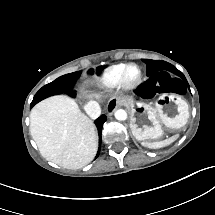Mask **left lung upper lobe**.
Returning a JSON list of instances; mask_svg holds the SVG:
<instances>
[{
    "label": "left lung upper lobe",
    "instance_id": "1",
    "mask_svg": "<svg viewBox=\"0 0 215 215\" xmlns=\"http://www.w3.org/2000/svg\"><path fill=\"white\" fill-rule=\"evenodd\" d=\"M143 61L147 63V75L148 76L162 72V71H170L183 78V75L180 71H178L174 66H172L171 64H169L165 61L148 60V59H143Z\"/></svg>",
    "mask_w": 215,
    "mask_h": 215
}]
</instances>
